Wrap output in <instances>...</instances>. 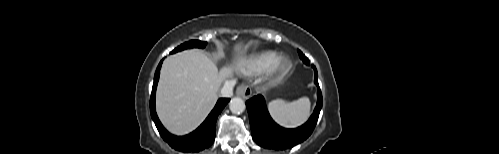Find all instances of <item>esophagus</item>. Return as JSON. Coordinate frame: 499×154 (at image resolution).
I'll return each mask as SVG.
<instances>
[{"label":"esophagus","mask_w":499,"mask_h":154,"mask_svg":"<svg viewBox=\"0 0 499 154\" xmlns=\"http://www.w3.org/2000/svg\"><path fill=\"white\" fill-rule=\"evenodd\" d=\"M251 93V89L245 84L239 85L236 89V95L244 99L249 98L251 96Z\"/></svg>","instance_id":"esophagus-1"}]
</instances>
